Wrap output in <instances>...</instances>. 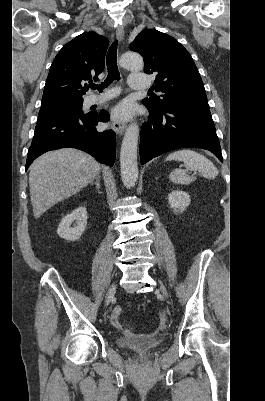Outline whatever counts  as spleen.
<instances>
[{
    "label": "spleen",
    "instance_id": "obj_1",
    "mask_svg": "<svg viewBox=\"0 0 265 401\" xmlns=\"http://www.w3.org/2000/svg\"><path fill=\"white\" fill-rule=\"evenodd\" d=\"M166 160H182L186 166V170L175 168L173 172H170L169 180L174 184H190L195 180V176H190L187 170H198L206 178H216L218 174V170L211 160H208L203 154L195 152V150H190V148L175 150V152L168 154Z\"/></svg>",
    "mask_w": 265,
    "mask_h": 401
}]
</instances>
